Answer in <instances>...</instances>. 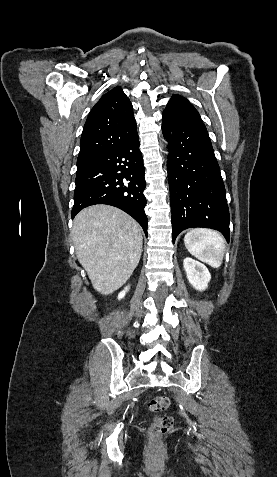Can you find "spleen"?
Wrapping results in <instances>:
<instances>
[{
    "instance_id": "spleen-1",
    "label": "spleen",
    "mask_w": 277,
    "mask_h": 477,
    "mask_svg": "<svg viewBox=\"0 0 277 477\" xmlns=\"http://www.w3.org/2000/svg\"><path fill=\"white\" fill-rule=\"evenodd\" d=\"M184 244L199 260L214 268L221 266L225 241L218 232L205 228L192 229L184 236Z\"/></svg>"
}]
</instances>
